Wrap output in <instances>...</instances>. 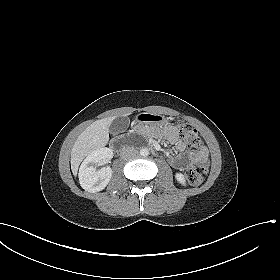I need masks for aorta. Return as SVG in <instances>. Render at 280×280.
<instances>
[{
    "label": "aorta",
    "mask_w": 280,
    "mask_h": 280,
    "mask_svg": "<svg viewBox=\"0 0 280 280\" xmlns=\"http://www.w3.org/2000/svg\"><path fill=\"white\" fill-rule=\"evenodd\" d=\"M140 155L143 156V157H146L149 155V150L147 148H142L140 150Z\"/></svg>",
    "instance_id": "1"
}]
</instances>
